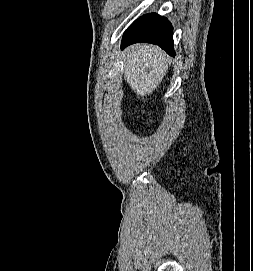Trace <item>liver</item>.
Returning a JSON list of instances; mask_svg holds the SVG:
<instances>
[{
    "label": "liver",
    "mask_w": 253,
    "mask_h": 271,
    "mask_svg": "<svg viewBox=\"0 0 253 271\" xmlns=\"http://www.w3.org/2000/svg\"><path fill=\"white\" fill-rule=\"evenodd\" d=\"M168 63V56L159 47L133 45L125 50V81L143 98L157 89L166 75Z\"/></svg>",
    "instance_id": "obj_1"
}]
</instances>
